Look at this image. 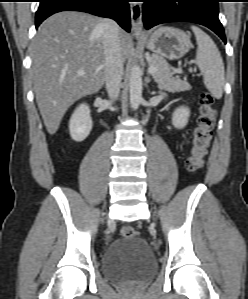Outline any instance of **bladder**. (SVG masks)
<instances>
[{
    "label": "bladder",
    "instance_id": "1",
    "mask_svg": "<svg viewBox=\"0 0 248 299\" xmlns=\"http://www.w3.org/2000/svg\"><path fill=\"white\" fill-rule=\"evenodd\" d=\"M102 273L115 283H139L150 278L156 262L147 242L141 237L113 241L104 251Z\"/></svg>",
    "mask_w": 248,
    "mask_h": 299
}]
</instances>
